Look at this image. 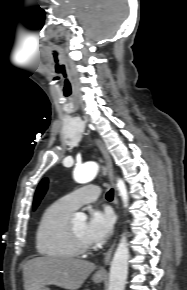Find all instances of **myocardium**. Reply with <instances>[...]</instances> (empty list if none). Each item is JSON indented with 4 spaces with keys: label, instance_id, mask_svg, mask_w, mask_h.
Instances as JSON below:
<instances>
[{
    "label": "myocardium",
    "instance_id": "obj_1",
    "mask_svg": "<svg viewBox=\"0 0 187 290\" xmlns=\"http://www.w3.org/2000/svg\"><path fill=\"white\" fill-rule=\"evenodd\" d=\"M67 235L71 245L78 254L88 253L92 247L89 243L84 242L74 231L71 225V221L67 224Z\"/></svg>",
    "mask_w": 187,
    "mask_h": 290
}]
</instances>
